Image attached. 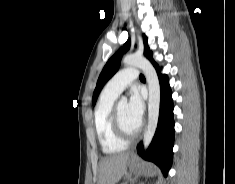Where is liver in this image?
<instances>
[{
  "instance_id": "6515ba94",
  "label": "liver",
  "mask_w": 235,
  "mask_h": 184,
  "mask_svg": "<svg viewBox=\"0 0 235 184\" xmlns=\"http://www.w3.org/2000/svg\"><path fill=\"white\" fill-rule=\"evenodd\" d=\"M130 154H115L101 158L99 164V184H117L126 174Z\"/></svg>"
}]
</instances>
